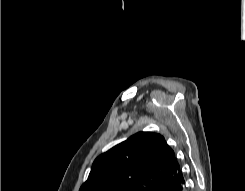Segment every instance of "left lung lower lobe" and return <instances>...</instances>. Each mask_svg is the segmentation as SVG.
I'll return each mask as SVG.
<instances>
[{
  "label": "left lung lower lobe",
  "mask_w": 245,
  "mask_h": 191,
  "mask_svg": "<svg viewBox=\"0 0 245 191\" xmlns=\"http://www.w3.org/2000/svg\"><path fill=\"white\" fill-rule=\"evenodd\" d=\"M156 191H185V180L179 163Z\"/></svg>",
  "instance_id": "left-lung-lower-lobe-1"
}]
</instances>
